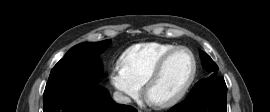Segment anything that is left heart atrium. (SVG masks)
<instances>
[{"label":"left heart atrium","instance_id":"left-heart-atrium-1","mask_svg":"<svg viewBox=\"0 0 270 112\" xmlns=\"http://www.w3.org/2000/svg\"><path fill=\"white\" fill-rule=\"evenodd\" d=\"M148 102H149L150 104H156V102H155L154 100H152L150 97H148Z\"/></svg>","mask_w":270,"mask_h":112}]
</instances>
